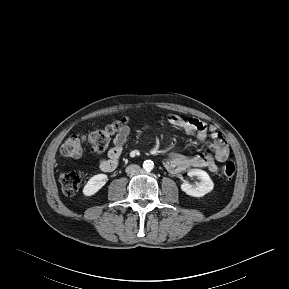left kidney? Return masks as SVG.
<instances>
[{
    "label": "left kidney",
    "instance_id": "left-kidney-1",
    "mask_svg": "<svg viewBox=\"0 0 289 289\" xmlns=\"http://www.w3.org/2000/svg\"><path fill=\"white\" fill-rule=\"evenodd\" d=\"M188 175L190 177L196 176L200 182L196 183V185H191L188 182L182 183L181 190L187 195L193 197H202L213 190L214 183L208 173L204 170L192 169L188 172Z\"/></svg>",
    "mask_w": 289,
    "mask_h": 289
}]
</instances>
